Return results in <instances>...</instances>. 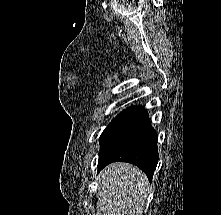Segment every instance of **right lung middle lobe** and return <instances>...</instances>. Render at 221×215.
<instances>
[{
    "mask_svg": "<svg viewBox=\"0 0 221 215\" xmlns=\"http://www.w3.org/2000/svg\"><path fill=\"white\" fill-rule=\"evenodd\" d=\"M125 110L122 111L113 121L107 126V128L103 131L100 137V144L105 139V137L108 135L110 130L113 128V126L117 123V121L121 118V116L124 114Z\"/></svg>",
    "mask_w": 221,
    "mask_h": 215,
    "instance_id": "right-lung-middle-lobe-1",
    "label": "right lung middle lobe"
}]
</instances>
